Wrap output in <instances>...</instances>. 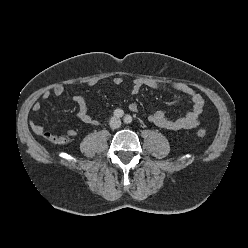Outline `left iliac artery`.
I'll return each mask as SVG.
<instances>
[{"label": "left iliac artery", "instance_id": "44dca946", "mask_svg": "<svg viewBox=\"0 0 248 248\" xmlns=\"http://www.w3.org/2000/svg\"><path fill=\"white\" fill-rule=\"evenodd\" d=\"M124 122H125L126 124H130V123L132 122V117H131L130 115H126V116L124 117Z\"/></svg>", "mask_w": 248, "mask_h": 248}]
</instances>
